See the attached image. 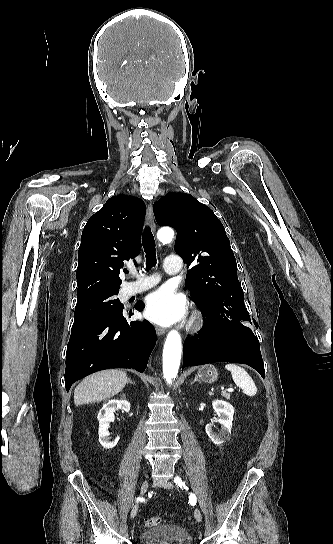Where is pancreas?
<instances>
[{
    "label": "pancreas",
    "mask_w": 333,
    "mask_h": 544,
    "mask_svg": "<svg viewBox=\"0 0 333 544\" xmlns=\"http://www.w3.org/2000/svg\"><path fill=\"white\" fill-rule=\"evenodd\" d=\"M222 396L226 399H230V393L228 392H223Z\"/></svg>",
    "instance_id": "cf45deb5"
}]
</instances>
